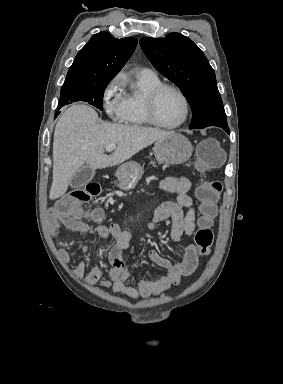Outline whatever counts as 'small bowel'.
<instances>
[{"mask_svg":"<svg viewBox=\"0 0 283 384\" xmlns=\"http://www.w3.org/2000/svg\"><path fill=\"white\" fill-rule=\"evenodd\" d=\"M161 188L168 192L177 194L176 201H166L156 208L152 220L148 223L149 230H154L159 222L168 218L172 219L170 238L173 243L182 242L181 257L178 260H170L151 250L149 259L165 270V273L156 279H142L137 286L128 285L132 278L131 272L126 267L123 259L124 252L128 249L131 233L122 230L116 223L110 224H88L81 222L68 213H63L52 207L48 212V228L53 237L61 228L74 232L90 234L103 239L113 238L115 244L109 251L108 259L111 268L108 278L101 280L102 268L98 265L91 268L86 274V262L81 260L75 268V274L88 284L99 283V286L111 289L114 293L133 299H144L152 295H159L171 286L178 285L183 277L194 273L198 266L199 257L197 247L187 240L195 230V210L190 195L191 182L187 177L169 176L164 178L160 184ZM86 252L85 246L79 247ZM59 257L63 263L70 260V252L67 248L59 250Z\"/></svg>","mask_w":283,"mask_h":384,"instance_id":"small-bowel-1","label":"small bowel"}]
</instances>
